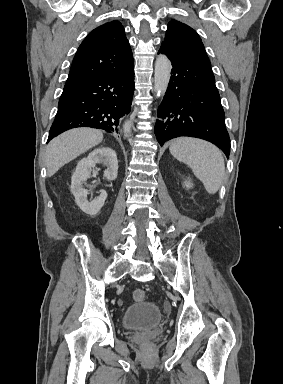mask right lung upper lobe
Segmentation results:
<instances>
[{"mask_svg":"<svg viewBox=\"0 0 283 384\" xmlns=\"http://www.w3.org/2000/svg\"><path fill=\"white\" fill-rule=\"evenodd\" d=\"M133 65L123 26L119 21L105 23L91 31L79 46L64 90L97 76L125 71Z\"/></svg>","mask_w":283,"mask_h":384,"instance_id":"cb5924a9","label":"right lung upper lobe"}]
</instances>
